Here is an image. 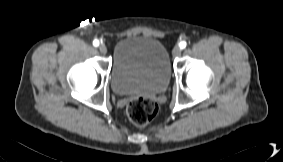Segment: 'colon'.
I'll return each instance as SVG.
<instances>
[{
    "label": "colon",
    "mask_w": 283,
    "mask_h": 162,
    "mask_svg": "<svg viewBox=\"0 0 283 162\" xmlns=\"http://www.w3.org/2000/svg\"><path fill=\"white\" fill-rule=\"evenodd\" d=\"M158 113V105L147 97H137L127 106V116L136 126H145L150 123Z\"/></svg>",
    "instance_id": "5ec220e1"
}]
</instances>
